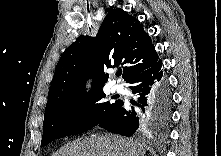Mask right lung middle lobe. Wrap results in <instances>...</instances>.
Segmentation results:
<instances>
[{
	"label": "right lung middle lobe",
	"mask_w": 221,
	"mask_h": 156,
	"mask_svg": "<svg viewBox=\"0 0 221 156\" xmlns=\"http://www.w3.org/2000/svg\"><path fill=\"white\" fill-rule=\"evenodd\" d=\"M102 89L69 93L45 110L41 147L54 139L90 130L114 113L121 100L104 102Z\"/></svg>",
	"instance_id": "obj_1"
}]
</instances>
